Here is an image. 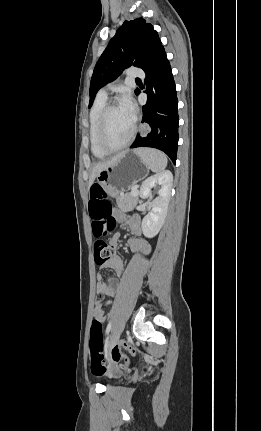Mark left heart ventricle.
I'll use <instances>...</instances> for the list:
<instances>
[{
    "label": "left heart ventricle",
    "mask_w": 261,
    "mask_h": 431,
    "mask_svg": "<svg viewBox=\"0 0 261 431\" xmlns=\"http://www.w3.org/2000/svg\"><path fill=\"white\" fill-rule=\"evenodd\" d=\"M133 120V117L121 106V104L115 106L107 117V142L112 146L122 144L131 132Z\"/></svg>",
    "instance_id": "obj_1"
}]
</instances>
